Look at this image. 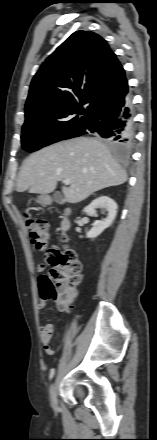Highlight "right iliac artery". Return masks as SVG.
<instances>
[{
	"label": "right iliac artery",
	"instance_id": "82829eb1",
	"mask_svg": "<svg viewBox=\"0 0 157 440\" xmlns=\"http://www.w3.org/2000/svg\"><path fill=\"white\" fill-rule=\"evenodd\" d=\"M54 374H55V369H54V368H52V369H51V371H50V375H49V378H50V379H52V378H53V376H54Z\"/></svg>",
	"mask_w": 157,
	"mask_h": 440
}]
</instances>
